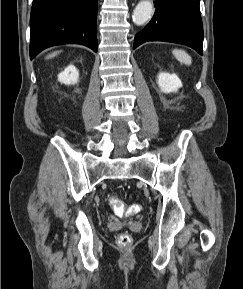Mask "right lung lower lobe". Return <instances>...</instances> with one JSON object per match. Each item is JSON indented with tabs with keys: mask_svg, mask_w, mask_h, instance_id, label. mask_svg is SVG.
I'll list each match as a JSON object with an SVG mask.
<instances>
[{
	"mask_svg": "<svg viewBox=\"0 0 243 289\" xmlns=\"http://www.w3.org/2000/svg\"><path fill=\"white\" fill-rule=\"evenodd\" d=\"M69 43L97 52V0H33L30 58L48 47Z\"/></svg>",
	"mask_w": 243,
	"mask_h": 289,
	"instance_id": "obj_1",
	"label": "right lung lower lobe"
}]
</instances>
